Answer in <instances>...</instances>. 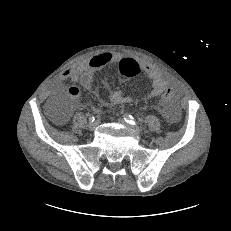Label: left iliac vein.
<instances>
[{"label":"left iliac vein","instance_id":"4c4485c4","mask_svg":"<svg viewBox=\"0 0 231 231\" xmlns=\"http://www.w3.org/2000/svg\"><path fill=\"white\" fill-rule=\"evenodd\" d=\"M118 121H119L120 124L126 126L127 128L132 129L137 135H141V130H140L139 127L129 125V124H128L124 119H122V118H119Z\"/></svg>","mask_w":231,"mask_h":231}]
</instances>
